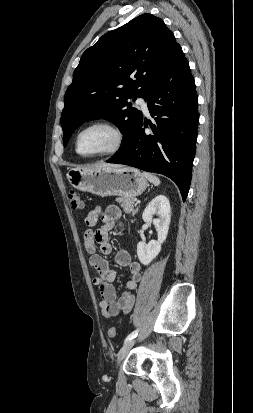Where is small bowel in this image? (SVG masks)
<instances>
[{"mask_svg": "<svg viewBox=\"0 0 253 413\" xmlns=\"http://www.w3.org/2000/svg\"><path fill=\"white\" fill-rule=\"evenodd\" d=\"M121 210L116 205H109L104 210L96 207L91 210L85 218V224L88 227L84 233V246L89 254L88 263L91 269L96 273L93 283L100 290L101 301L99 308L102 315L106 318H112L119 313L128 314L135 302V290L138 282L141 280V265L132 261L128 250H120L115 256L117 265L129 269V278L126 282V290L117 297L113 282L116 278V272L110 267L108 261L100 254L96 253L98 245L101 254L109 255L112 252L109 243V232L118 225L121 231H124V225L121 222ZM102 220V225L94 229L98 220Z\"/></svg>", "mask_w": 253, "mask_h": 413, "instance_id": "obj_1", "label": "small bowel"}]
</instances>
